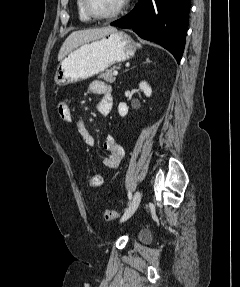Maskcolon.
<instances>
[{"instance_id":"colon-1","label":"colon","mask_w":240,"mask_h":287,"mask_svg":"<svg viewBox=\"0 0 240 287\" xmlns=\"http://www.w3.org/2000/svg\"><path fill=\"white\" fill-rule=\"evenodd\" d=\"M86 180L91 188H100L103 184V175L98 170H89L86 173ZM102 217L107 221H114L118 218V214L112 210H102Z\"/></svg>"}]
</instances>
